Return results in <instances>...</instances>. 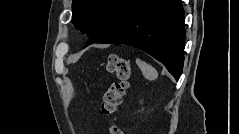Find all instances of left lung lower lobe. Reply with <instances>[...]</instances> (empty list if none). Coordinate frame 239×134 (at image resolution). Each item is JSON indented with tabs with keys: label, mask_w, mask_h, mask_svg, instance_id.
Instances as JSON below:
<instances>
[{
	"label": "left lung lower lobe",
	"mask_w": 239,
	"mask_h": 134,
	"mask_svg": "<svg viewBox=\"0 0 239 134\" xmlns=\"http://www.w3.org/2000/svg\"><path fill=\"white\" fill-rule=\"evenodd\" d=\"M184 9L180 0H123L92 43L139 48L162 62L178 80L184 61Z\"/></svg>",
	"instance_id": "0a47b994"
}]
</instances>
